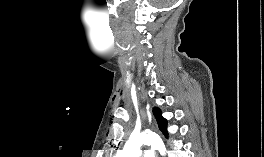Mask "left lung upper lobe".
I'll use <instances>...</instances> for the list:
<instances>
[{
  "instance_id": "left-lung-upper-lobe-1",
  "label": "left lung upper lobe",
  "mask_w": 264,
  "mask_h": 157,
  "mask_svg": "<svg viewBox=\"0 0 264 157\" xmlns=\"http://www.w3.org/2000/svg\"><path fill=\"white\" fill-rule=\"evenodd\" d=\"M153 114L157 120L159 129L163 132L165 137H168L167 133V121L162 117V113L158 108H154Z\"/></svg>"
}]
</instances>
